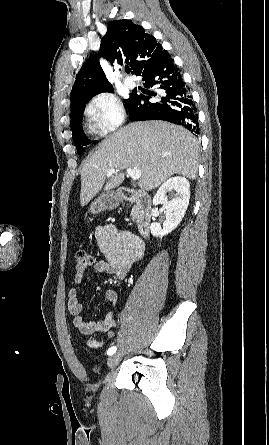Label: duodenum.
<instances>
[{
	"label": "duodenum",
	"mask_w": 269,
	"mask_h": 445,
	"mask_svg": "<svg viewBox=\"0 0 269 445\" xmlns=\"http://www.w3.org/2000/svg\"><path fill=\"white\" fill-rule=\"evenodd\" d=\"M121 200L134 202L137 207V227L143 237L149 235L152 219V201L150 196L142 190L122 188L119 191Z\"/></svg>",
	"instance_id": "duodenum-1"
}]
</instances>
